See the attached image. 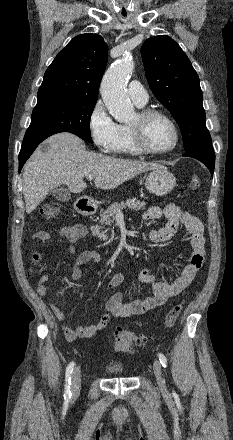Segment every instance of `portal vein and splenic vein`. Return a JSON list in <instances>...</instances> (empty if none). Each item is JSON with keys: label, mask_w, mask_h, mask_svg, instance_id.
<instances>
[{"label": "portal vein and splenic vein", "mask_w": 233, "mask_h": 440, "mask_svg": "<svg viewBox=\"0 0 233 440\" xmlns=\"http://www.w3.org/2000/svg\"><path fill=\"white\" fill-rule=\"evenodd\" d=\"M86 178L91 181V180H93L94 176L89 174V175H86ZM121 214H122V212L120 210H118L117 215H121Z\"/></svg>", "instance_id": "1"}]
</instances>
